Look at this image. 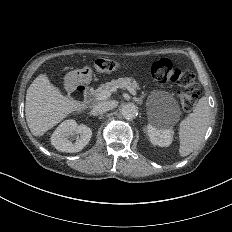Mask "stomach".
I'll return each instance as SVG.
<instances>
[{"label":"stomach","mask_w":232,"mask_h":232,"mask_svg":"<svg viewBox=\"0 0 232 232\" xmlns=\"http://www.w3.org/2000/svg\"><path fill=\"white\" fill-rule=\"evenodd\" d=\"M79 73L81 74V77L86 78V82H90L92 80L93 68L86 65L79 71Z\"/></svg>","instance_id":"obj_1"}]
</instances>
